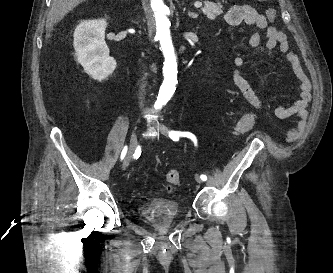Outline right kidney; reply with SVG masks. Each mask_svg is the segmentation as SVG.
Here are the masks:
<instances>
[{
	"mask_svg": "<svg viewBox=\"0 0 333 273\" xmlns=\"http://www.w3.org/2000/svg\"><path fill=\"white\" fill-rule=\"evenodd\" d=\"M106 19L85 20L74 31L73 46L77 61L94 80L107 79L116 68L105 42Z\"/></svg>",
	"mask_w": 333,
	"mask_h": 273,
	"instance_id": "1",
	"label": "right kidney"
}]
</instances>
